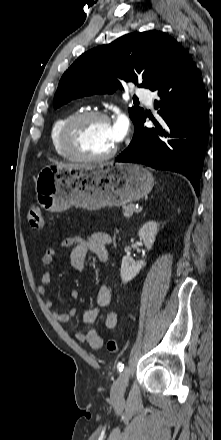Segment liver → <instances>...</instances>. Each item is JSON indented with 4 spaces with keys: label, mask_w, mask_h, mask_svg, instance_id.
Here are the masks:
<instances>
[{
    "label": "liver",
    "mask_w": 221,
    "mask_h": 440,
    "mask_svg": "<svg viewBox=\"0 0 221 440\" xmlns=\"http://www.w3.org/2000/svg\"><path fill=\"white\" fill-rule=\"evenodd\" d=\"M57 167L60 168H85L88 167L89 165H78V164H65V163H59V162H55Z\"/></svg>",
    "instance_id": "obj_1"
}]
</instances>
